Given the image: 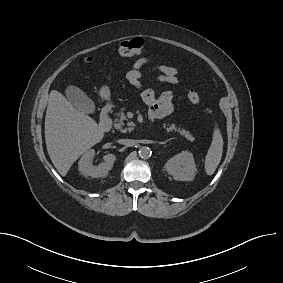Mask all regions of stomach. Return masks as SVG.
Segmentation results:
<instances>
[{
    "instance_id": "1",
    "label": "stomach",
    "mask_w": 283,
    "mask_h": 283,
    "mask_svg": "<svg viewBox=\"0 0 283 283\" xmlns=\"http://www.w3.org/2000/svg\"><path fill=\"white\" fill-rule=\"evenodd\" d=\"M100 96L103 99L109 100L110 99V89L108 86H102L99 91Z\"/></svg>"
}]
</instances>
